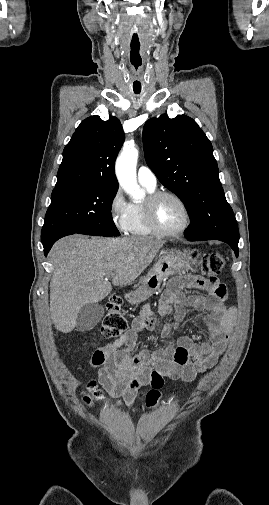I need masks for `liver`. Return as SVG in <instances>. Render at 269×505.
I'll use <instances>...</instances> for the list:
<instances>
[{
	"label": "liver",
	"mask_w": 269,
	"mask_h": 505,
	"mask_svg": "<svg viewBox=\"0 0 269 505\" xmlns=\"http://www.w3.org/2000/svg\"><path fill=\"white\" fill-rule=\"evenodd\" d=\"M162 242L143 237L87 238L72 235L50 251V313L55 328L70 333L80 309L103 300L114 286L132 283L153 261ZM112 277V284L106 280Z\"/></svg>",
	"instance_id": "6515ba94"
}]
</instances>
